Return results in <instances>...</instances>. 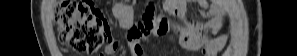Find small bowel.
Masks as SVG:
<instances>
[{"label": "small bowel", "mask_w": 297, "mask_h": 56, "mask_svg": "<svg viewBox=\"0 0 297 56\" xmlns=\"http://www.w3.org/2000/svg\"><path fill=\"white\" fill-rule=\"evenodd\" d=\"M187 0H167L163 5V14L155 15V7L148 4L142 17V21L134 25L133 8L128 3H117L113 7V14L120 22V25L127 29L125 36L126 45L133 56H144L145 51L141 41L148 40L151 36L167 38L177 41L183 48L191 51H199L205 56H215L221 51L228 40L227 34L221 32L225 23V14L216 5L210 4L206 0L195 1L200 7L203 16L215 12L212 21L203 24L197 21H188L186 13L188 11ZM175 16L182 19L180 24L171 25L166 16ZM172 28L174 35H168ZM216 31L219 35L216 38L210 37V33ZM120 42L111 40L105 48L106 54H112L119 46Z\"/></svg>", "instance_id": "obj_1"}]
</instances>
